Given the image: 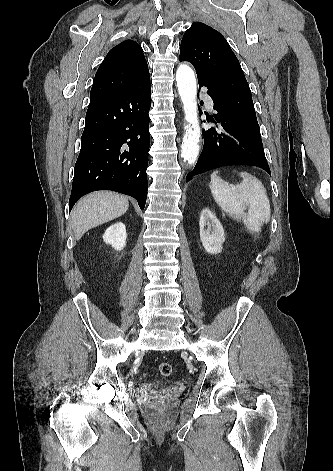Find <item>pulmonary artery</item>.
Masks as SVG:
<instances>
[{
    "instance_id": "e3ab8cb5",
    "label": "pulmonary artery",
    "mask_w": 333,
    "mask_h": 471,
    "mask_svg": "<svg viewBox=\"0 0 333 471\" xmlns=\"http://www.w3.org/2000/svg\"><path fill=\"white\" fill-rule=\"evenodd\" d=\"M205 101H206L207 107H209V108H212V107H213V101H212V99H211L210 97L206 96V97H205Z\"/></svg>"
}]
</instances>
